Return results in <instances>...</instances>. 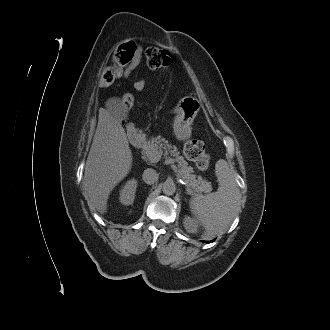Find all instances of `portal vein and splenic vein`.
<instances>
[{
	"mask_svg": "<svg viewBox=\"0 0 330 330\" xmlns=\"http://www.w3.org/2000/svg\"><path fill=\"white\" fill-rule=\"evenodd\" d=\"M160 156L159 155H153L151 158V162L155 163L158 162L160 160ZM167 163L171 165V168L174 170V172H178V169L176 167V165L173 164V160L171 158H167Z\"/></svg>",
	"mask_w": 330,
	"mask_h": 330,
	"instance_id": "1",
	"label": "portal vein and splenic vein"
}]
</instances>
